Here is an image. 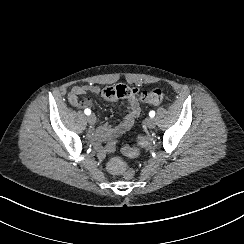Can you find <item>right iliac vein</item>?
Listing matches in <instances>:
<instances>
[{
  "mask_svg": "<svg viewBox=\"0 0 244 244\" xmlns=\"http://www.w3.org/2000/svg\"><path fill=\"white\" fill-rule=\"evenodd\" d=\"M87 121L89 124H95L96 122V117L94 114H90L88 117H87Z\"/></svg>",
  "mask_w": 244,
  "mask_h": 244,
  "instance_id": "63e3f726",
  "label": "right iliac vein"
}]
</instances>
